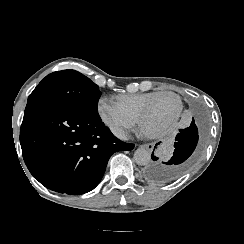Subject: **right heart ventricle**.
Here are the masks:
<instances>
[{
    "instance_id": "obj_1",
    "label": "right heart ventricle",
    "mask_w": 244,
    "mask_h": 244,
    "mask_svg": "<svg viewBox=\"0 0 244 244\" xmlns=\"http://www.w3.org/2000/svg\"><path fill=\"white\" fill-rule=\"evenodd\" d=\"M155 94H161V93L160 92H150V93L141 94L139 96L133 94V95H130L129 97L128 96L111 97V102L114 103L115 105L120 106L119 103L123 100H126L127 104H129L131 107H133L136 111V115H137L136 122H140L139 114L141 112L142 106H145L147 101H149L150 99H153V95H155ZM150 108H152V107H150ZM145 117H146V114H145Z\"/></svg>"
}]
</instances>
